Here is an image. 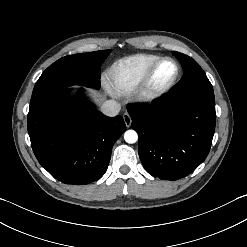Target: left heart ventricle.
Masks as SVG:
<instances>
[{
  "label": "left heart ventricle",
  "instance_id": "1",
  "mask_svg": "<svg viewBox=\"0 0 247 247\" xmlns=\"http://www.w3.org/2000/svg\"><path fill=\"white\" fill-rule=\"evenodd\" d=\"M176 75V66L172 61L166 60L161 62L156 68L150 87L157 90L169 84Z\"/></svg>",
  "mask_w": 247,
  "mask_h": 247
}]
</instances>
